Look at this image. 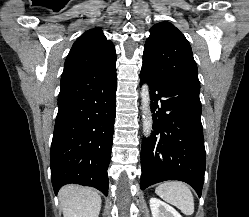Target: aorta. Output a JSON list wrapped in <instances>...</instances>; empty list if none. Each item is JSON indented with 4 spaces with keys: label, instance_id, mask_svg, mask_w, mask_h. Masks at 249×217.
Instances as JSON below:
<instances>
[{
    "label": "aorta",
    "instance_id": "762f6f07",
    "mask_svg": "<svg viewBox=\"0 0 249 217\" xmlns=\"http://www.w3.org/2000/svg\"><path fill=\"white\" fill-rule=\"evenodd\" d=\"M142 111H143V132L146 137H149L152 132V117L150 110V94L149 86L147 83H144L140 91Z\"/></svg>",
    "mask_w": 249,
    "mask_h": 217
}]
</instances>
